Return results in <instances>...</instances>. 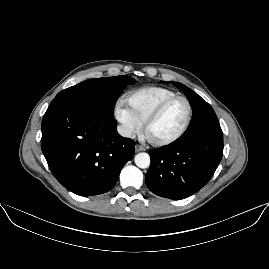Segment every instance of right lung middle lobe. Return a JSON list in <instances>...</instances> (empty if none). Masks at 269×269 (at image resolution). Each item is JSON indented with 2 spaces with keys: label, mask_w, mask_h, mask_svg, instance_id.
<instances>
[{
  "label": "right lung middle lobe",
  "mask_w": 269,
  "mask_h": 269,
  "mask_svg": "<svg viewBox=\"0 0 269 269\" xmlns=\"http://www.w3.org/2000/svg\"><path fill=\"white\" fill-rule=\"evenodd\" d=\"M134 82L132 77L124 75L89 79L59 92L53 101L62 99L87 104L113 115L119 94Z\"/></svg>",
  "instance_id": "dd1d6c3e"
}]
</instances>
